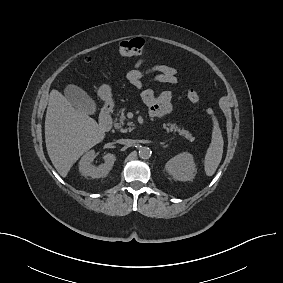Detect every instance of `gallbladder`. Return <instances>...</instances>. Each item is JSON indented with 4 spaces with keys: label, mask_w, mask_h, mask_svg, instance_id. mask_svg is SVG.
<instances>
[{
    "label": "gallbladder",
    "mask_w": 283,
    "mask_h": 283,
    "mask_svg": "<svg viewBox=\"0 0 283 283\" xmlns=\"http://www.w3.org/2000/svg\"><path fill=\"white\" fill-rule=\"evenodd\" d=\"M64 94L77 110L90 115L95 114L96 104L82 88L69 84L65 87Z\"/></svg>",
    "instance_id": "bac80fb5"
}]
</instances>
